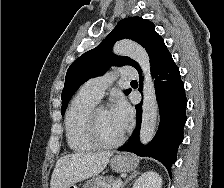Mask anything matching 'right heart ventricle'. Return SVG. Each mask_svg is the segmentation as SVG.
<instances>
[{
  "mask_svg": "<svg viewBox=\"0 0 224 188\" xmlns=\"http://www.w3.org/2000/svg\"><path fill=\"white\" fill-rule=\"evenodd\" d=\"M98 100L82 89L71 101L65 116V134L68 146L75 152H87L96 146L86 132V118Z\"/></svg>",
  "mask_w": 224,
  "mask_h": 188,
  "instance_id": "1",
  "label": "right heart ventricle"
}]
</instances>
